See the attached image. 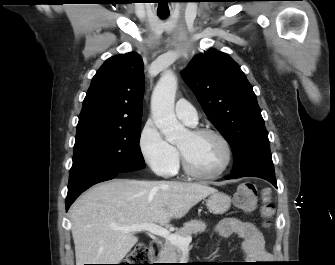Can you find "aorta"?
Listing matches in <instances>:
<instances>
[{
  "mask_svg": "<svg viewBox=\"0 0 335 265\" xmlns=\"http://www.w3.org/2000/svg\"><path fill=\"white\" fill-rule=\"evenodd\" d=\"M177 78L171 71H165L154 88L151 97L152 118L166 140L174 143L185 133L184 126L174 112Z\"/></svg>",
  "mask_w": 335,
  "mask_h": 265,
  "instance_id": "1",
  "label": "aorta"
}]
</instances>
